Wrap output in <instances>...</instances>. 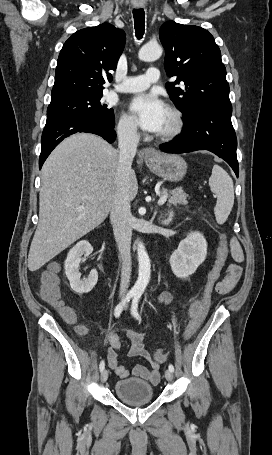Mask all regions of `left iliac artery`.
Returning <instances> with one entry per match:
<instances>
[{
    "instance_id": "44dca946",
    "label": "left iliac artery",
    "mask_w": 272,
    "mask_h": 455,
    "mask_svg": "<svg viewBox=\"0 0 272 455\" xmlns=\"http://www.w3.org/2000/svg\"><path fill=\"white\" fill-rule=\"evenodd\" d=\"M141 297V294H135L134 296V299L132 301V307H131V312H132V315L139 321H141V318L139 316V313H138V301ZM169 370L171 372H174V366L172 364L169 365Z\"/></svg>"
}]
</instances>
